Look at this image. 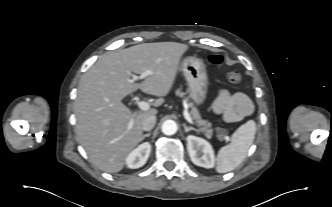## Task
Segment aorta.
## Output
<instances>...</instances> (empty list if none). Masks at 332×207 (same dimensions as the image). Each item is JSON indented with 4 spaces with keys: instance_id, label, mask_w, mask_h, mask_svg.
Instances as JSON below:
<instances>
[{
    "instance_id": "762f6f07",
    "label": "aorta",
    "mask_w": 332,
    "mask_h": 207,
    "mask_svg": "<svg viewBox=\"0 0 332 207\" xmlns=\"http://www.w3.org/2000/svg\"><path fill=\"white\" fill-rule=\"evenodd\" d=\"M162 132L165 135H173L177 132V124L173 120H166L162 124Z\"/></svg>"
}]
</instances>
